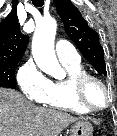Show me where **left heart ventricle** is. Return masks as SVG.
<instances>
[{
	"mask_svg": "<svg viewBox=\"0 0 117 136\" xmlns=\"http://www.w3.org/2000/svg\"><path fill=\"white\" fill-rule=\"evenodd\" d=\"M85 96L87 101L94 107H102L106 103V94L96 82H90L87 85Z\"/></svg>",
	"mask_w": 117,
	"mask_h": 136,
	"instance_id": "obj_1",
	"label": "left heart ventricle"
}]
</instances>
